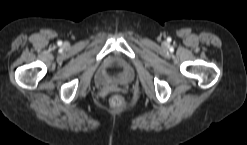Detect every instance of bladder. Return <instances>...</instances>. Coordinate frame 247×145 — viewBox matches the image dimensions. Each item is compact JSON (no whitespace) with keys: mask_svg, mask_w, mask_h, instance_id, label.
<instances>
[{"mask_svg":"<svg viewBox=\"0 0 247 145\" xmlns=\"http://www.w3.org/2000/svg\"><path fill=\"white\" fill-rule=\"evenodd\" d=\"M127 71H128V74L123 79L124 84H128L132 81V72L130 69H128ZM98 83L100 85H106L109 83V80L107 78H101V76H99Z\"/></svg>","mask_w":247,"mask_h":145,"instance_id":"1","label":"bladder"}]
</instances>
